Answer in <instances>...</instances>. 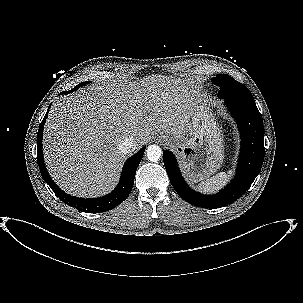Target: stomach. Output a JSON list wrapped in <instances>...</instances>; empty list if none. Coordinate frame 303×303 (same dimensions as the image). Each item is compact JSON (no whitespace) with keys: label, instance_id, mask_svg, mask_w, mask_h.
<instances>
[{"label":"stomach","instance_id":"0dacf381","mask_svg":"<svg viewBox=\"0 0 303 303\" xmlns=\"http://www.w3.org/2000/svg\"><path fill=\"white\" fill-rule=\"evenodd\" d=\"M160 138L172 140V147L181 160L186 177L196 182L220 169L224 160L221 131L215 118L201 103L196 109L181 139L160 133Z\"/></svg>","mask_w":303,"mask_h":303}]
</instances>
